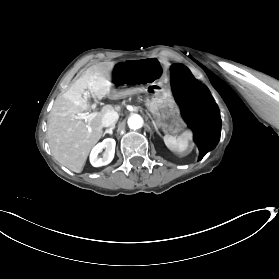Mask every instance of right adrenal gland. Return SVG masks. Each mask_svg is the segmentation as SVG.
<instances>
[{
    "label": "right adrenal gland",
    "instance_id": "right-adrenal-gland-1",
    "mask_svg": "<svg viewBox=\"0 0 279 279\" xmlns=\"http://www.w3.org/2000/svg\"><path fill=\"white\" fill-rule=\"evenodd\" d=\"M113 129H115V125H112V126H110L109 128H107L106 130H105V132L103 133V137L105 136V134H110V135H112V130Z\"/></svg>",
    "mask_w": 279,
    "mask_h": 279
}]
</instances>
